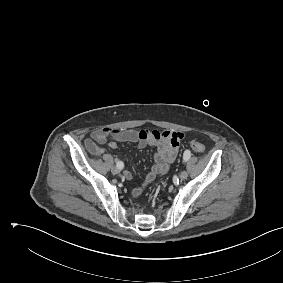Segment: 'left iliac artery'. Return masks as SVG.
<instances>
[{"mask_svg": "<svg viewBox=\"0 0 283 283\" xmlns=\"http://www.w3.org/2000/svg\"><path fill=\"white\" fill-rule=\"evenodd\" d=\"M190 158V152L189 151H185L184 155H183V161L186 162L188 161Z\"/></svg>", "mask_w": 283, "mask_h": 283, "instance_id": "obj_1", "label": "left iliac artery"}]
</instances>
